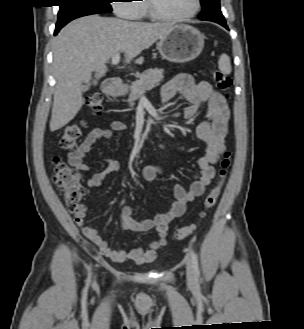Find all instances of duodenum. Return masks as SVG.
<instances>
[{
    "mask_svg": "<svg viewBox=\"0 0 304 329\" xmlns=\"http://www.w3.org/2000/svg\"><path fill=\"white\" fill-rule=\"evenodd\" d=\"M119 85L116 79H108L103 84V90L106 95L112 96L118 91Z\"/></svg>",
    "mask_w": 304,
    "mask_h": 329,
    "instance_id": "1",
    "label": "duodenum"
}]
</instances>
